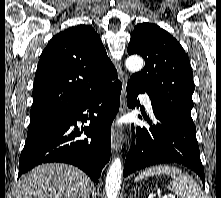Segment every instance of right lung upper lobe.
<instances>
[{
  "instance_id": "right-lung-upper-lobe-1",
  "label": "right lung upper lobe",
  "mask_w": 221,
  "mask_h": 198,
  "mask_svg": "<svg viewBox=\"0 0 221 198\" xmlns=\"http://www.w3.org/2000/svg\"><path fill=\"white\" fill-rule=\"evenodd\" d=\"M117 80L95 30L87 25L70 27L55 35L41 54L30 123L70 110Z\"/></svg>"
}]
</instances>
